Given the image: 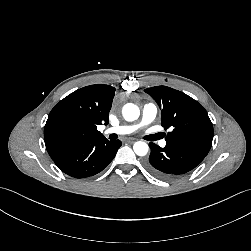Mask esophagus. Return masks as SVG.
Masks as SVG:
<instances>
[{
  "label": "esophagus",
  "mask_w": 251,
  "mask_h": 251,
  "mask_svg": "<svg viewBox=\"0 0 251 251\" xmlns=\"http://www.w3.org/2000/svg\"><path fill=\"white\" fill-rule=\"evenodd\" d=\"M134 141H135V139H133V138L127 139V142H130V143H133Z\"/></svg>",
  "instance_id": "obj_1"
}]
</instances>
